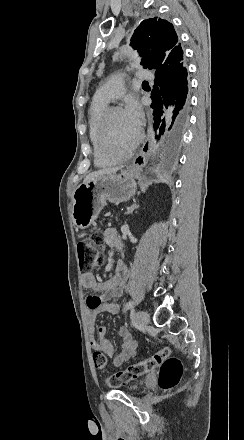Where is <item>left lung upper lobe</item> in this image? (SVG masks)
I'll return each mask as SVG.
<instances>
[{
  "instance_id": "left-lung-upper-lobe-1",
  "label": "left lung upper lobe",
  "mask_w": 244,
  "mask_h": 440,
  "mask_svg": "<svg viewBox=\"0 0 244 440\" xmlns=\"http://www.w3.org/2000/svg\"><path fill=\"white\" fill-rule=\"evenodd\" d=\"M133 49L140 53L144 68L158 69L183 57L173 25L161 18L143 20L131 38Z\"/></svg>"
}]
</instances>
